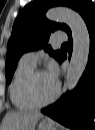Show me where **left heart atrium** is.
<instances>
[{
	"label": "left heart atrium",
	"mask_w": 95,
	"mask_h": 130,
	"mask_svg": "<svg viewBox=\"0 0 95 130\" xmlns=\"http://www.w3.org/2000/svg\"><path fill=\"white\" fill-rule=\"evenodd\" d=\"M46 76L54 83H57L58 70L54 62H49L46 71L44 72Z\"/></svg>",
	"instance_id": "obj_1"
}]
</instances>
